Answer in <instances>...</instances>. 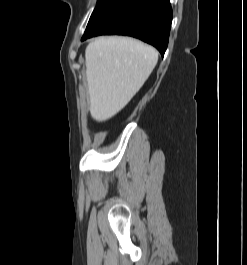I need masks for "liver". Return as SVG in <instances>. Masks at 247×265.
<instances>
[{"mask_svg": "<svg viewBox=\"0 0 247 265\" xmlns=\"http://www.w3.org/2000/svg\"><path fill=\"white\" fill-rule=\"evenodd\" d=\"M89 109L102 122L121 111L158 61L157 50L129 37H100L85 50Z\"/></svg>", "mask_w": 247, "mask_h": 265, "instance_id": "1", "label": "liver"}]
</instances>
